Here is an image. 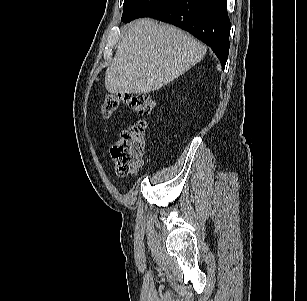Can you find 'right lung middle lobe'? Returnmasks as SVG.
<instances>
[{
  "instance_id": "1",
  "label": "right lung middle lobe",
  "mask_w": 307,
  "mask_h": 301,
  "mask_svg": "<svg viewBox=\"0 0 307 301\" xmlns=\"http://www.w3.org/2000/svg\"><path fill=\"white\" fill-rule=\"evenodd\" d=\"M162 0H124L123 15L121 21L128 23Z\"/></svg>"
}]
</instances>
